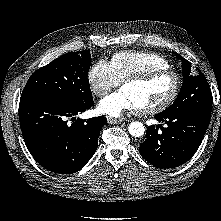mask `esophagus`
Listing matches in <instances>:
<instances>
[{
  "label": "esophagus",
  "instance_id": "obj_1",
  "mask_svg": "<svg viewBox=\"0 0 221 221\" xmlns=\"http://www.w3.org/2000/svg\"><path fill=\"white\" fill-rule=\"evenodd\" d=\"M123 121H124V120L121 119V118H119V119L113 118V117H108V118H107V122H108L109 124H120V123H122Z\"/></svg>",
  "mask_w": 221,
  "mask_h": 221
}]
</instances>
